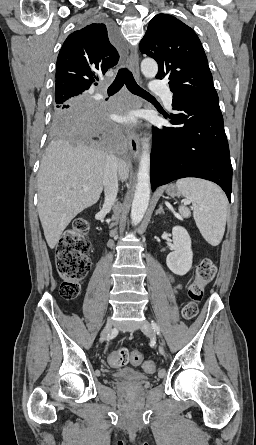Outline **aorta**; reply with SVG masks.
Wrapping results in <instances>:
<instances>
[{"label":"aorta","mask_w":256,"mask_h":445,"mask_svg":"<svg viewBox=\"0 0 256 445\" xmlns=\"http://www.w3.org/2000/svg\"><path fill=\"white\" fill-rule=\"evenodd\" d=\"M143 75L150 79L158 73V65L153 59H144L141 62ZM150 200V144L146 140L142 144V152L139 160L137 185L131 208L133 224H138L145 215Z\"/></svg>","instance_id":"1"}]
</instances>
